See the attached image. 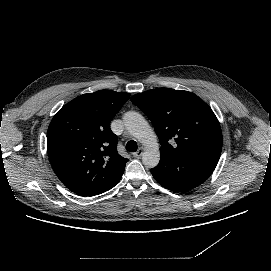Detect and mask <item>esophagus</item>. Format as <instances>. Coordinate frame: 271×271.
<instances>
[{
  "mask_svg": "<svg viewBox=\"0 0 271 271\" xmlns=\"http://www.w3.org/2000/svg\"><path fill=\"white\" fill-rule=\"evenodd\" d=\"M143 155V147H140L136 152L133 153V157L141 158Z\"/></svg>",
  "mask_w": 271,
  "mask_h": 271,
  "instance_id": "esophagus-1",
  "label": "esophagus"
}]
</instances>
